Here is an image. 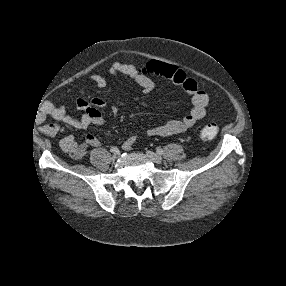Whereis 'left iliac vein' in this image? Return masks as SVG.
I'll list each match as a JSON object with an SVG mask.
<instances>
[{
    "label": "left iliac vein",
    "instance_id": "obj_1",
    "mask_svg": "<svg viewBox=\"0 0 286 286\" xmlns=\"http://www.w3.org/2000/svg\"><path fill=\"white\" fill-rule=\"evenodd\" d=\"M146 154L149 157V159L151 161H153L154 163L160 164L163 162V158L160 155H158L157 153H154L152 151H147Z\"/></svg>",
    "mask_w": 286,
    "mask_h": 286
}]
</instances>
